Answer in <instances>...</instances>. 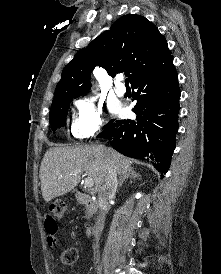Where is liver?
Listing matches in <instances>:
<instances>
[{"label": "liver", "instance_id": "6515ba94", "mask_svg": "<svg viewBox=\"0 0 221 274\" xmlns=\"http://www.w3.org/2000/svg\"><path fill=\"white\" fill-rule=\"evenodd\" d=\"M108 160H112L117 173H128L130 160L112 148L102 145L50 148L44 155L40 166L42 196L46 202L75 191L81 173L85 171L95 183L99 192L107 175ZM76 170L80 173L74 174Z\"/></svg>", "mask_w": 221, "mask_h": 274}]
</instances>
